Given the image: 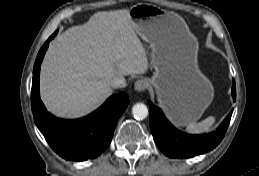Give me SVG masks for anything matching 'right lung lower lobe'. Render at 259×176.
<instances>
[{
	"mask_svg": "<svg viewBox=\"0 0 259 176\" xmlns=\"http://www.w3.org/2000/svg\"><path fill=\"white\" fill-rule=\"evenodd\" d=\"M52 34L40 49L33 68L31 107L34 121L50 147L61 157L84 161L98 157L111 143L118 119L127 108L129 98L120 93L110 96L90 115L76 119H59L49 113L40 99V66Z\"/></svg>",
	"mask_w": 259,
	"mask_h": 176,
	"instance_id": "1",
	"label": "right lung lower lobe"
}]
</instances>
